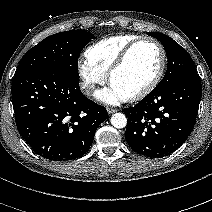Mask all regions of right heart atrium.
I'll list each match as a JSON object with an SVG mask.
<instances>
[{"instance_id":"obj_1","label":"right heart atrium","mask_w":212,"mask_h":212,"mask_svg":"<svg viewBox=\"0 0 212 212\" xmlns=\"http://www.w3.org/2000/svg\"><path fill=\"white\" fill-rule=\"evenodd\" d=\"M77 71L81 79V87L87 95L92 94L96 86L103 84L106 79V75L87 59H80L78 61Z\"/></svg>"}]
</instances>
